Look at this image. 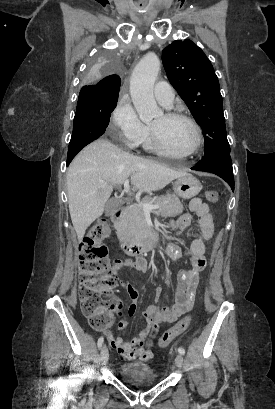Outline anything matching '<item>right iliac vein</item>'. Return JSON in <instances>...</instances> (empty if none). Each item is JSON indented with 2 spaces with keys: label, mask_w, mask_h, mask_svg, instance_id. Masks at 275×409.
I'll return each instance as SVG.
<instances>
[{
  "label": "right iliac vein",
  "mask_w": 275,
  "mask_h": 409,
  "mask_svg": "<svg viewBox=\"0 0 275 409\" xmlns=\"http://www.w3.org/2000/svg\"><path fill=\"white\" fill-rule=\"evenodd\" d=\"M100 358H101L102 364L105 365V363L108 361V358H109V351L106 346L102 347Z\"/></svg>",
  "instance_id": "right-iliac-vein-1"
}]
</instances>
